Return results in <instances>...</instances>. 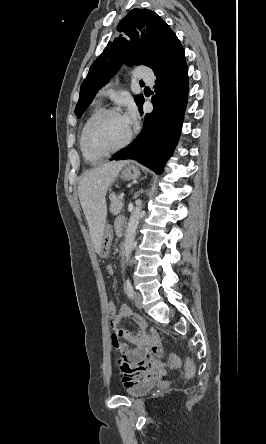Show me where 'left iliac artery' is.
<instances>
[{
	"instance_id": "obj_1",
	"label": "left iliac artery",
	"mask_w": 266,
	"mask_h": 444,
	"mask_svg": "<svg viewBox=\"0 0 266 444\" xmlns=\"http://www.w3.org/2000/svg\"><path fill=\"white\" fill-rule=\"evenodd\" d=\"M126 293L130 298H133L134 290L129 279L126 280Z\"/></svg>"
}]
</instances>
